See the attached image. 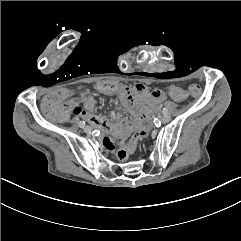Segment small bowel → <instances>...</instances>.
I'll return each mask as SVG.
<instances>
[{"instance_id":"small-bowel-1","label":"small bowel","mask_w":241,"mask_h":241,"mask_svg":"<svg viewBox=\"0 0 241 241\" xmlns=\"http://www.w3.org/2000/svg\"><path fill=\"white\" fill-rule=\"evenodd\" d=\"M117 84L119 91L116 95L120 97L123 106L129 111L130 119L113 123L105 116L92 114L91 110L94 108L95 100L91 96H84L79 101H74L70 97L63 105V109L55 110L51 103L66 94L67 91L63 87L47 95L43 102V107L52 118L55 116L58 118L65 117L68 113L67 111L72 107L75 114L83 117L95 129L102 132L101 142L105 149L110 152L116 150L118 160L125 163L129 156L135 152L138 143L151 132V119L149 121H139L137 119V116L141 119L148 118L151 114V109L145 104V101L140 102V98H143L146 94L144 84H135L130 92L127 87L119 83ZM147 99L150 104L156 105L160 102H165L167 95L160 90H153L148 93ZM80 103L83 105V108L79 107ZM135 107L136 110L134 109ZM79 109H82L83 113H77Z\"/></svg>"}]
</instances>
